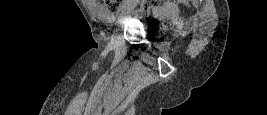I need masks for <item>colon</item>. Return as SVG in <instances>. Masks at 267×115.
I'll use <instances>...</instances> for the list:
<instances>
[{
	"label": "colon",
	"mask_w": 267,
	"mask_h": 115,
	"mask_svg": "<svg viewBox=\"0 0 267 115\" xmlns=\"http://www.w3.org/2000/svg\"><path fill=\"white\" fill-rule=\"evenodd\" d=\"M124 0H103L104 5L110 11H118ZM161 4V0H143L140 15L146 16L149 9L153 7H157Z\"/></svg>",
	"instance_id": "5ec220e1"
}]
</instances>
